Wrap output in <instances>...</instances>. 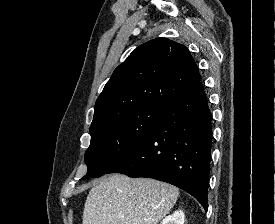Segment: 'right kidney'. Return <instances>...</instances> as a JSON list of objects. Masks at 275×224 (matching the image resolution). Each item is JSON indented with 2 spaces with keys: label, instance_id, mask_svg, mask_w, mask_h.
<instances>
[{
  "label": "right kidney",
  "instance_id": "1",
  "mask_svg": "<svg viewBox=\"0 0 275 224\" xmlns=\"http://www.w3.org/2000/svg\"><path fill=\"white\" fill-rule=\"evenodd\" d=\"M185 215L182 210H177L173 214L168 215L160 224H184Z\"/></svg>",
  "mask_w": 275,
  "mask_h": 224
}]
</instances>
